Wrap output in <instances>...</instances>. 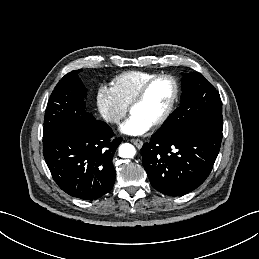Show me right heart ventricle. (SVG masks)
I'll return each instance as SVG.
<instances>
[{
  "label": "right heart ventricle",
  "mask_w": 259,
  "mask_h": 259,
  "mask_svg": "<svg viewBox=\"0 0 259 259\" xmlns=\"http://www.w3.org/2000/svg\"><path fill=\"white\" fill-rule=\"evenodd\" d=\"M155 75L144 71H127L112 80L111 88L126 105H129L142 85Z\"/></svg>",
  "instance_id": "1"
}]
</instances>
